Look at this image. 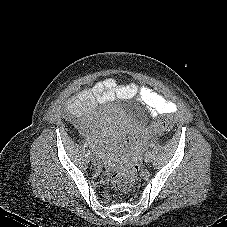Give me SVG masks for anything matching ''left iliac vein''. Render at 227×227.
I'll use <instances>...</instances> for the list:
<instances>
[{
	"instance_id": "1",
	"label": "left iliac vein",
	"mask_w": 227,
	"mask_h": 227,
	"mask_svg": "<svg viewBox=\"0 0 227 227\" xmlns=\"http://www.w3.org/2000/svg\"><path fill=\"white\" fill-rule=\"evenodd\" d=\"M153 153L151 151H147L144 155L145 162H150L152 160Z\"/></svg>"
}]
</instances>
